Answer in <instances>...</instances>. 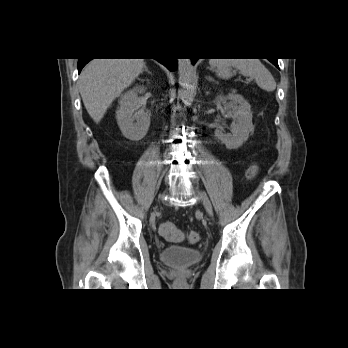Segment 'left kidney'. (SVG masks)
I'll list each match as a JSON object with an SVG mask.
<instances>
[{
	"mask_svg": "<svg viewBox=\"0 0 348 348\" xmlns=\"http://www.w3.org/2000/svg\"><path fill=\"white\" fill-rule=\"evenodd\" d=\"M229 100L228 103L226 101ZM216 103L225 102L236 124L231 129V134H225L222 128L215 130V136L226 145L228 149H237L248 139L249 133L254 129L252 124L251 106L239 94H229L228 96H218Z\"/></svg>",
	"mask_w": 348,
	"mask_h": 348,
	"instance_id": "obj_1",
	"label": "left kidney"
}]
</instances>
